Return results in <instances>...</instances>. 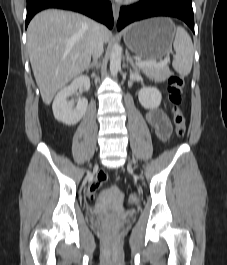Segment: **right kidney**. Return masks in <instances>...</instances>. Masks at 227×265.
Listing matches in <instances>:
<instances>
[{"label": "right kidney", "mask_w": 227, "mask_h": 265, "mask_svg": "<svg viewBox=\"0 0 227 265\" xmlns=\"http://www.w3.org/2000/svg\"><path fill=\"white\" fill-rule=\"evenodd\" d=\"M78 88L89 90L90 79L87 75L76 77L69 86L64 87L57 93L53 101L52 109L55 119L68 126L77 124L85 115L88 107V101L85 98L79 99L75 108L74 103L67 100Z\"/></svg>", "instance_id": "right-kidney-1"}]
</instances>
